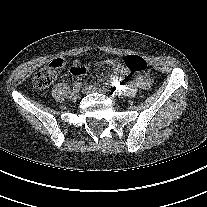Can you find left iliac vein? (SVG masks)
Returning a JSON list of instances; mask_svg holds the SVG:
<instances>
[{"mask_svg":"<svg viewBox=\"0 0 207 207\" xmlns=\"http://www.w3.org/2000/svg\"><path fill=\"white\" fill-rule=\"evenodd\" d=\"M82 91L86 94L93 93V92L104 93L105 95H107V98H109L110 101L112 102L116 101V98L113 96V93L111 91L107 92L106 88H97L93 86H87V87H84Z\"/></svg>","mask_w":207,"mask_h":207,"instance_id":"left-iliac-vein-1","label":"left iliac vein"}]
</instances>
